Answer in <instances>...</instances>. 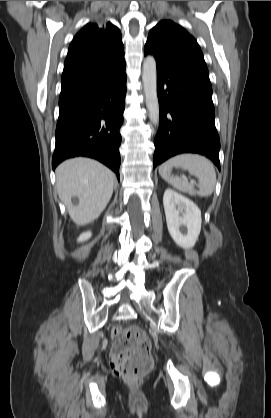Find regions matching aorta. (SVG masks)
<instances>
[{
    "label": "aorta",
    "mask_w": 271,
    "mask_h": 418,
    "mask_svg": "<svg viewBox=\"0 0 271 418\" xmlns=\"http://www.w3.org/2000/svg\"><path fill=\"white\" fill-rule=\"evenodd\" d=\"M142 82L146 107L149 112L150 120L155 126H158L160 121V106L157 96L156 60L153 56L149 55L144 59Z\"/></svg>",
    "instance_id": "aorta-1"
}]
</instances>
